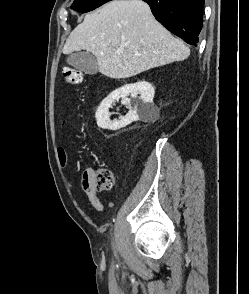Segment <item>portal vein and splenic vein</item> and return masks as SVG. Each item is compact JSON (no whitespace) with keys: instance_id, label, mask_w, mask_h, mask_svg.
<instances>
[{"instance_id":"portal-vein-and-splenic-vein-1","label":"portal vein and splenic vein","mask_w":249,"mask_h":294,"mask_svg":"<svg viewBox=\"0 0 249 294\" xmlns=\"http://www.w3.org/2000/svg\"><path fill=\"white\" fill-rule=\"evenodd\" d=\"M122 52H123V48H118V49H117V53H118V54H121Z\"/></svg>"}]
</instances>
